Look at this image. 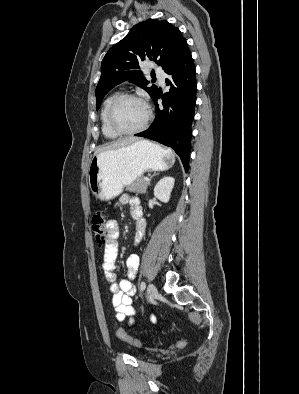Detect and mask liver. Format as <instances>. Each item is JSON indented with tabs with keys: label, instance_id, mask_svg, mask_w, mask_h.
I'll list each match as a JSON object with an SVG mask.
<instances>
[{
	"label": "liver",
	"instance_id": "1",
	"mask_svg": "<svg viewBox=\"0 0 299 394\" xmlns=\"http://www.w3.org/2000/svg\"><path fill=\"white\" fill-rule=\"evenodd\" d=\"M138 140H139L138 138L130 137V138H126V139H123V140H120V141H116V142L111 143L110 145L98 148L95 151V154H98V153H100L102 151H106V150H110V149H116V148H119V147L127 146V145H130V144L138 141Z\"/></svg>",
	"mask_w": 299,
	"mask_h": 394
}]
</instances>
